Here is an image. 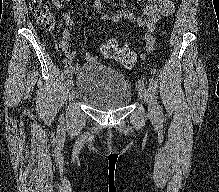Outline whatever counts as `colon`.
<instances>
[{
	"label": "colon",
	"instance_id": "obj_1",
	"mask_svg": "<svg viewBox=\"0 0 219 192\" xmlns=\"http://www.w3.org/2000/svg\"><path fill=\"white\" fill-rule=\"evenodd\" d=\"M30 11L36 21L47 31L55 27V19L51 10L50 0H32ZM103 57L115 59L124 67H133L137 61L136 53L128 46H120L114 39L104 42L100 47Z\"/></svg>",
	"mask_w": 219,
	"mask_h": 192
}]
</instances>
